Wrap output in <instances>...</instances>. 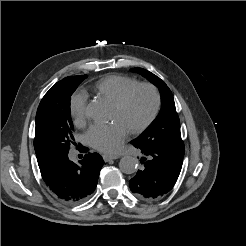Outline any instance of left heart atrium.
<instances>
[{
    "label": "left heart atrium",
    "instance_id": "39dd6f15",
    "mask_svg": "<svg viewBox=\"0 0 246 246\" xmlns=\"http://www.w3.org/2000/svg\"><path fill=\"white\" fill-rule=\"evenodd\" d=\"M129 129L120 120H113L110 123H96L89 127L86 132V141L94 149L114 154L119 151L122 143L128 135Z\"/></svg>",
    "mask_w": 246,
    "mask_h": 246
}]
</instances>
